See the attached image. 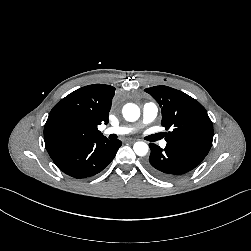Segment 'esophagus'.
Segmentation results:
<instances>
[{
	"instance_id": "obj_1",
	"label": "esophagus",
	"mask_w": 251,
	"mask_h": 251,
	"mask_svg": "<svg viewBox=\"0 0 251 251\" xmlns=\"http://www.w3.org/2000/svg\"><path fill=\"white\" fill-rule=\"evenodd\" d=\"M127 142L133 143V142H135V139H128Z\"/></svg>"
}]
</instances>
